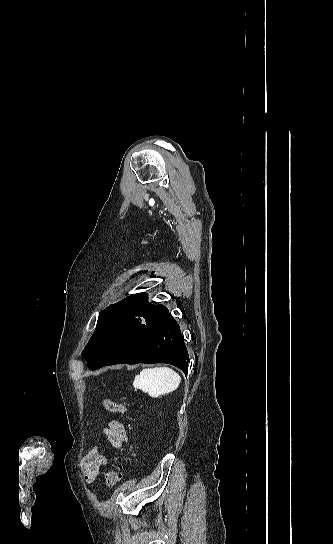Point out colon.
I'll return each mask as SVG.
<instances>
[{
	"label": "colon",
	"instance_id": "5ec220e1",
	"mask_svg": "<svg viewBox=\"0 0 333 544\" xmlns=\"http://www.w3.org/2000/svg\"><path fill=\"white\" fill-rule=\"evenodd\" d=\"M106 410L112 413L124 414L127 409L123 404L117 403L107 398L101 400ZM122 477V465L116 464L111 470L105 473L106 484L109 488H113L117 485Z\"/></svg>",
	"mask_w": 333,
	"mask_h": 544
}]
</instances>
